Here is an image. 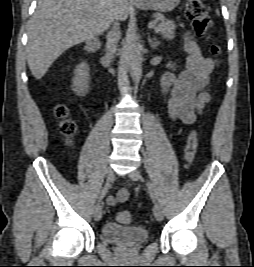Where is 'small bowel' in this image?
<instances>
[{
	"mask_svg": "<svg viewBox=\"0 0 254 267\" xmlns=\"http://www.w3.org/2000/svg\"><path fill=\"white\" fill-rule=\"evenodd\" d=\"M184 48L188 54L186 68L176 72V67L168 65L161 79L163 94L171 92L169 115L172 121L193 124L210 96L204 90L213 71V61L204 57L198 44L190 35L184 38ZM129 198L127 189H120L116 195L107 197L110 206L124 203Z\"/></svg>",
	"mask_w": 254,
	"mask_h": 267,
	"instance_id": "small-bowel-1",
	"label": "small bowel"
}]
</instances>
